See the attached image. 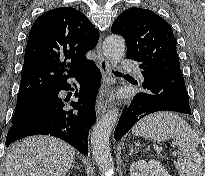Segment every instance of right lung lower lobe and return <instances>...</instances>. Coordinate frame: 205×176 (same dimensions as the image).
Returning <instances> with one entry per match:
<instances>
[{
  "label": "right lung lower lobe",
  "instance_id": "98d812e1",
  "mask_svg": "<svg viewBox=\"0 0 205 176\" xmlns=\"http://www.w3.org/2000/svg\"><path fill=\"white\" fill-rule=\"evenodd\" d=\"M74 77L81 82V86L79 93L75 94L79 97L78 102L71 101L70 105L78 110V113L73 109H63L66 100L60 99L58 93L70 87L64 81L12 123L6 137L7 147L26 136L44 134L58 137L82 154L88 155L89 130L96 120L94 97L98 88L99 72L91 61Z\"/></svg>",
  "mask_w": 205,
  "mask_h": 176
}]
</instances>
